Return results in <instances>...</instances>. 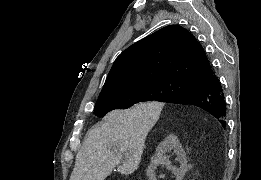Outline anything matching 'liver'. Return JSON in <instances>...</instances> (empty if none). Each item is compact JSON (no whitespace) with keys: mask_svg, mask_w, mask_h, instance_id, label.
<instances>
[{"mask_svg":"<svg viewBox=\"0 0 261 180\" xmlns=\"http://www.w3.org/2000/svg\"><path fill=\"white\" fill-rule=\"evenodd\" d=\"M157 102L130 110L109 112L89 130L75 160L70 180H105L114 168L133 174L142 158L145 140L158 118Z\"/></svg>","mask_w":261,"mask_h":180,"instance_id":"1","label":"liver"}]
</instances>
